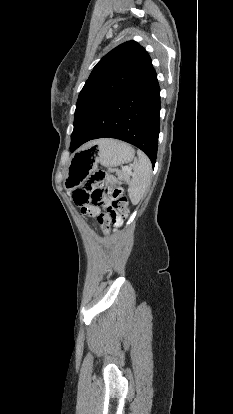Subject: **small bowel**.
I'll return each mask as SVG.
<instances>
[{
	"mask_svg": "<svg viewBox=\"0 0 233 414\" xmlns=\"http://www.w3.org/2000/svg\"><path fill=\"white\" fill-rule=\"evenodd\" d=\"M81 210L83 213L88 214L89 216L98 219L100 213H101V209L98 206H94V205H86L84 207H81ZM113 225L115 227H119L121 225V219L117 218Z\"/></svg>",
	"mask_w": 233,
	"mask_h": 414,
	"instance_id": "1",
	"label": "small bowel"
}]
</instances>
